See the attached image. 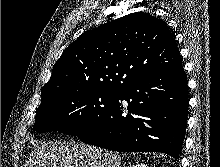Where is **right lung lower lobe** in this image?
<instances>
[{
    "label": "right lung lower lobe",
    "mask_w": 220,
    "mask_h": 167,
    "mask_svg": "<svg viewBox=\"0 0 220 167\" xmlns=\"http://www.w3.org/2000/svg\"><path fill=\"white\" fill-rule=\"evenodd\" d=\"M187 102V80L181 65L122 88L103 118L78 138L113 151L161 152L177 159L186 131Z\"/></svg>",
    "instance_id": "right-lung-lower-lobe-1"
}]
</instances>
